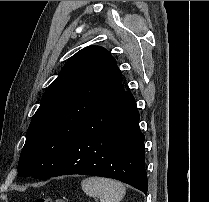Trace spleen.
I'll return each mask as SVG.
<instances>
[{"instance_id":"spleen-1","label":"spleen","mask_w":209,"mask_h":202,"mask_svg":"<svg viewBox=\"0 0 209 202\" xmlns=\"http://www.w3.org/2000/svg\"><path fill=\"white\" fill-rule=\"evenodd\" d=\"M81 187L87 196L98 197L100 202H120L126 193L121 182L101 177H87Z\"/></svg>"}]
</instances>
